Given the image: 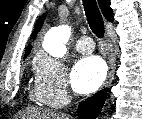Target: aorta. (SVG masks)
I'll return each mask as SVG.
<instances>
[{"mask_svg": "<svg viewBox=\"0 0 142 119\" xmlns=\"http://www.w3.org/2000/svg\"><path fill=\"white\" fill-rule=\"evenodd\" d=\"M70 36L71 27L68 25L51 28L44 37L43 48L49 55L55 58H62L66 54L65 44Z\"/></svg>", "mask_w": 142, "mask_h": 119, "instance_id": "obj_1", "label": "aorta"}]
</instances>
